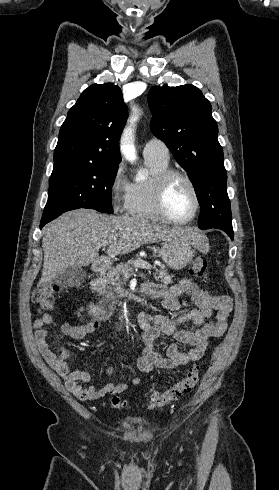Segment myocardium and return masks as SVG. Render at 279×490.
I'll use <instances>...</instances> for the list:
<instances>
[{"label": "myocardium", "mask_w": 279, "mask_h": 490, "mask_svg": "<svg viewBox=\"0 0 279 490\" xmlns=\"http://www.w3.org/2000/svg\"><path fill=\"white\" fill-rule=\"evenodd\" d=\"M179 178L185 180L190 185L195 199V205L192 214L187 219L184 220H178L172 217L167 206V198L171 185L176 179ZM155 205L158 214L165 221L176 225H183V224L190 223L196 218L200 209L201 200H200L199 189L195 181L191 178V176L188 173L184 172L183 170L169 168L164 172H162L158 177L156 193H155Z\"/></svg>", "instance_id": "f54148a6"}]
</instances>
